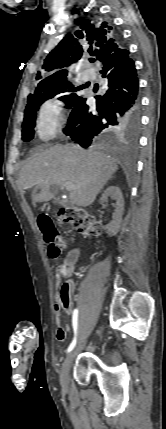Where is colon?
I'll return each mask as SVG.
<instances>
[{"mask_svg":"<svg viewBox=\"0 0 166 429\" xmlns=\"http://www.w3.org/2000/svg\"><path fill=\"white\" fill-rule=\"evenodd\" d=\"M59 216L63 222L70 224L85 235H96L99 232L98 221L86 209L79 207L62 208ZM38 225L44 236L48 254L52 258H58L63 251L64 242L53 221L50 217L42 215L38 218ZM63 289L65 293H68L69 285L64 283Z\"/></svg>","mask_w":166,"mask_h":429,"instance_id":"5ec220e1","label":"colon"}]
</instances>
